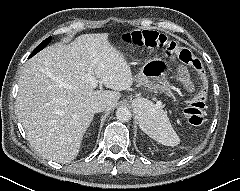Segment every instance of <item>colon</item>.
<instances>
[{
  "label": "colon",
  "mask_w": 240,
  "mask_h": 191,
  "mask_svg": "<svg viewBox=\"0 0 240 191\" xmlns=\"http://www.w3.org/2000/svg\"><path fill=\"white\" fill-rule=\"evenodd\" d=\"M123 40L132 46L162 48L168 54L177 55L182 62L191 66L197 72L200 80L199 90L196 97L186 107L185 116L192 125H201L205 118L208 94L207 75L201 60L188 48L180 46L176 41L157 31H133L125 34Z\"/></svg>",
  "instance_id": "colon-1"
}]
</instances>
